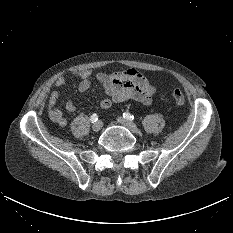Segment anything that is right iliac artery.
<instances>
[{
	"mask_svg": "<svg viewBox=\"0 0 233 233\" xmlns=\"http://www.w3.org/2000/svg\"><path fill=\"white\" fill-rule=\"evenodd\" d=\"M97 120H98V115H97L96 113H94V114L91 116L90 121H91L92 123H94V122H96Z\"/></svg>",
	"mask_w": 233,
	"mask_h": 233,
	"instance_id": "right-iliac-artery-1",
	"label": "right iliac artery"
}]
</instances>
